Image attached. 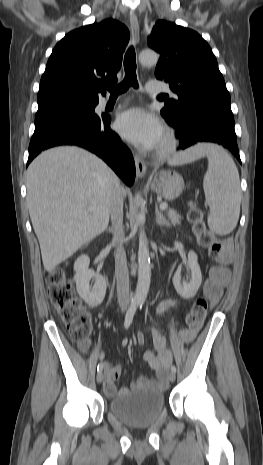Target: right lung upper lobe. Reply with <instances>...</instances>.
Listing matches in <instances>:
<instances>
[{"label": "right lung upper lobe", "mask_w": 263, "mask_h": 465, "mask_svg": "<svg viewBox=\"0 0 263 465\" xmlns=\"http://www.w3.org/2000/svg\"><path fill=\"white\" fill-rule=\"evenodd\" d=\"M122 23L107 19L68 33L53 49L40 81L38 101L74 96L97 99L115 83L129 41Z\"/></svg>", "instance_id": "cb5924a9"}]
</instances>
